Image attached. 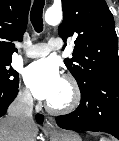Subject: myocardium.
Returning a JSON list of instances; mask_svg holds the SVG:
<instances>
[{
  "label": "myocardium",
  "instance_id": "f54148a6",
  "mask_svg": "<svg viewBox=\"0 0 119 141\" xmlns=\"http://www.w3.org/2000/svg\"><path fill=\"white\" fill-rule=\"evenodd\" d=\"M62 80L66 83L70 91V98L67 103L54 106L49 101L46 103V109L52 114H68L75 111L81 101V91L77 80L70 74L63 76Z\"/></svg>",
  "mask_w": 119,
  "mask_h": 141
}]
</instances>
